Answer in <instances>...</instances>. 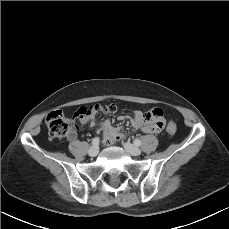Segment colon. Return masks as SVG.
<instances>
[{"instance_id": "obj_1", "label": "colon", "mask_w": 229, "mask_h": 229, "mask_svg": "<svg viewBox=\"0 0 229 229\" xmlns=\"http://www.w3.org/2000/svg\"><path fill=\"white\" fill-rule=\"evenodd\" d=\"M117 110L116 106L111 104L100 106L97 104L89 107H82L78 110L81 116L102 111L104 113H114ZM144 122L151 125L153 129H159L164 125V113L160 108L152 109L144 113ZM46 126L50 135L55 139L66 137L72 130L73 125L65 118L61 110H53L46 117ZM177 130L176 124H168L166 131L169 135H173Z\"/></svg>"}]
</instances>
